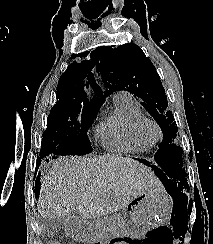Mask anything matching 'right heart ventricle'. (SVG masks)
I'll list each match as a JSON object with an SVG mask.
<instances>
[{
  "mask_svg": "<svg viewBox=\"0 0 213 244\" xmlns=\"http://www.w3.org/2000/svg\"><path fill=\"white\" fill-rule=\"evenodd\" d=\"M113 111L100 121L95 130L99 143L108 151L142 153L152 146L138 136L135 124L144 117L138 104L126 94H116Z\"/></svg>",
  "mask_w": 213,
  "mask_h": 244,
  "instance_id": "right-heart-ventricle-1",
  "label": "right heart ventricle"
}]
</instances>
